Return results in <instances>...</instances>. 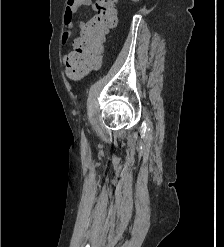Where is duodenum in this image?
<instances>
[{"mask_svg":"<svg viewBox=\"0 0 224 247\" xmlns=\"http://www.w3.org/2000/svg\"><path fill=\"white\" fill-rule=\"evenodd\" d=\"M83 47H84V50H86V46L84 45Z\"/></svg>","mask_w":224,"mask_h":247,"instance_id":"duodenum-1","label":"duodenum"}]
</instances>
